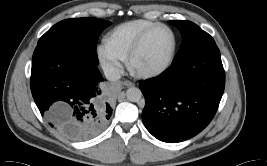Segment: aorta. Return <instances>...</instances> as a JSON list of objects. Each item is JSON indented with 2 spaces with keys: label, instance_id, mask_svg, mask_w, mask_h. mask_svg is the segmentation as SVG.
Instances as JSON below:
<instances>
[{
  "label": "aorta",
  "instance_id": "aorta-1",
  "mask_svg": "<svg viewBox=\"0 0 267 166\" xmlns=\"http://www.w3.org/2000/svg\"><path fill=\"white\" fill-rule=\"evenodd\" d=\"M126 97L131 102H138L142 98V92L137 87H130L126 91Z\"/></svg>",
  "mask_w": 267,
  "mask_h": 166
}]
</instances>
